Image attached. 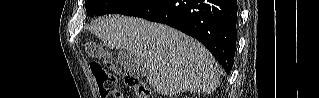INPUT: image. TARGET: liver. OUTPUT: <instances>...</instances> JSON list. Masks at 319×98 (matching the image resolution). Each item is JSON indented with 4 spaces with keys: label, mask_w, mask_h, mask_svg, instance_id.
I'll use <instances>...</instances> for the list:
<instances>
[{
    "label": "liver",
    "mask_w": 319,
    "mask_h": 98,
    "mask_svg": "<svg viewBox=\"0 0 319 98\" xmlns=\"http://www.w3.org/2000/svg\"><path fill=\"white\" fill-rule=\"evenodd\" d=\"M89 31L107 47L134 55L146 81L159 94H210L219 85L220 70L211 53L197 40L169 26L113 15L95 21Z\"/></svg>",
    "instance_id": "1"
}]
</instances>
